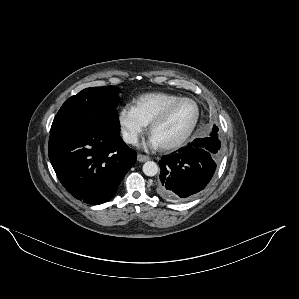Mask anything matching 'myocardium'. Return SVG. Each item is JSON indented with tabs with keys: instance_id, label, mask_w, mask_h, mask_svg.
Returning <instances> with one entry per match:
<instances>
[{
	"instance_id": "1",
	"label": "myocardium",
	"mask_w": 299,
	"mask_h": 299,
	"mask_svg": "<svg viewBox=\"0 0 299 299\" xmlns=\"http://www.w3.org/2000/svg\"><path fill=\"white\" fill-rule=\"evenodd\" d=\"M184 101H190V102H192L195 105V107H196V115H195L194 121H193L192 125L190 126V128L186 131V133H184L181 137H179L178 139H176V140H174L172 142L160 145V148L163 149V150L176 149V148L182 146L190 138V136L195 131V129H196L198 123H199L200 117H201V108H200V105H199V103L195 99H193L191 97H180L177 100H175V101L169 103L168 105H166L161 110V112L150 123L149 132H150V135H152V133L155 130V128L158 125H160L169 116V114L171 113V111L176 106H178L180 103H182Z\"/></svg>"
}]
</instances>
